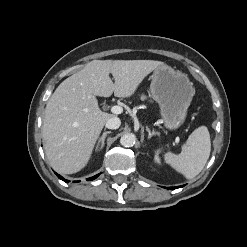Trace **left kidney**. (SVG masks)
Listing matches in <instances>:
<instances>
[{
    "instance_id": "5707ae66",
    "label": "left kidney",
    "mask_w": 247,
    "mask_h": 247,
    "mask_svg": "<svg viewBox=\"0 0 247 247\" xmlns=\"http://www.w3.org/2000/svg\"><path fill=\"white\" fill-rule=\"evenodd\" d=\"M160 152H161V149H157V150L155 151V157H154V159H155V162H157L158 164L161 163L160 157H159Z\"/></svg>"
}]
</instances>
